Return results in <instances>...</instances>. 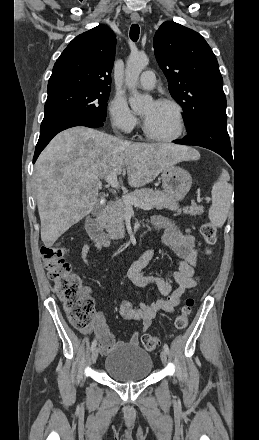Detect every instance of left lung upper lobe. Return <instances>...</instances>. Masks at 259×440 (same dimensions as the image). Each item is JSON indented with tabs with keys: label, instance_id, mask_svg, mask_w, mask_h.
Returning a JSON list of instances; mask_svg holds the SVG:
<instances>
[{
	"label": "left lung upper lobe",
	"instance_id": "obj_1",
	"mask_svg": "<svg viewBox=\"0 0 259 440\" xmlns=\"http://www.w3.org/2000/svg\"><path fill=\"white\" fill-rule=\"evenodd\" d=\"M153 45L169 92L184 110L187 130L205 117L227 118L219 65L199 33L175 22H164L155 33Z\"/></svg>",
	"mask_w": 259,
	"mask_h": 440
}]
</instances>
